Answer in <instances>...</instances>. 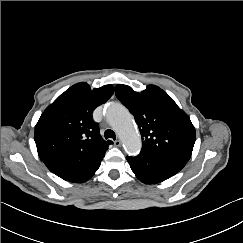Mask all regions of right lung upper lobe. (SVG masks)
Instances as JSON below:
<instances>
[{"instance_id": "1", "label": "right lung upper lobe", "mask_w": 243, "mask_h": 243, "mask_svg": "<svg viewBox=\"0 0 243 243\" xmlns=\"http://www.w3.org/2000/svg\"><path fill=\"white\" fill-rule=\"evenodd\" d=\"M113 92L112 85L91 90L80 82L45 109L35 126V143L51 172L59 176L102 161L113 142L101 137L92 113Z\"/></svg>"}]
</instances>
